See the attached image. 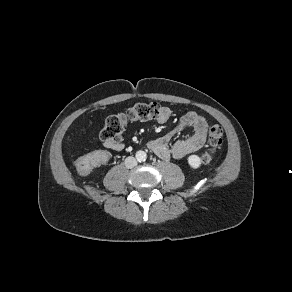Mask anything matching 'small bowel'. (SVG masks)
<instances>
[{"instance_id":"1","label":"small bowel","mask_w":292,"mask_h":292,"mask_svg":"<svg viewBox=\"0 0 292 292\" xmlns=\"http://www.w3.org/2000/svg\"><path fill=\"white\" fill-rule=\"evenodd\" d=\"M171 115L170 109L162 107L161 114L157 119L159 123H165ZM186 129H191L192 133L171 143L176 134ZM208 124L206 119L196 112L190 111L184 114L178 121L174 129L167 135L153 139L149 142V148L162 159H181L200 149L205 141ZM104 147L113 151H122L125 145L122 142H104Z\"/></svg>"}]
</instances>
